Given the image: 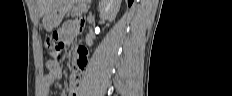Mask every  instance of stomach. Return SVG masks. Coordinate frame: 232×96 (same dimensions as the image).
Masks as SVG:
<instances>
[{"label": "stomach", "instance_id": "0dacf381", "mask_svg": "<svg viewBox=\"0 0 232 96\" xmlns=\"http://www.w3.org/2000/svg\"><path fill=\"white\" fill-rule=\"evenodd\" d=\"M74 0H53L43 17V26L47 31L58 27L65 14L74 5Z\"/></svg>", "mask_w": 232, "mask_h": 96}]
</instances>
